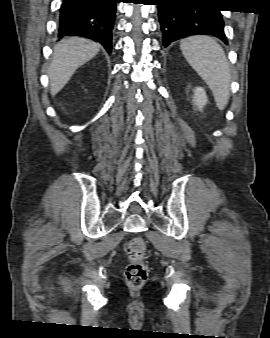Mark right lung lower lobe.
I'll use <instances>...</instances> for the list:
<instances>
[{"label": "right lung lower lobe", "instance_id": "98d812e1", "mask_svg": "<svg viewBox=\"0 0 270 338\" xmlns=\"http://www.w3.org/2000/svg\"><path fill=\"white\" fill-rule=\"evenodd\" d=\"M118 0H63L57 38L81 36L112 49V29Z\"/></svg>", "mask_w": 270, "mask_h": 338}]
</instances>
